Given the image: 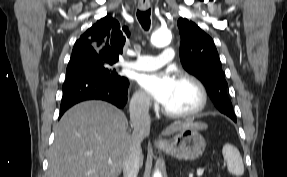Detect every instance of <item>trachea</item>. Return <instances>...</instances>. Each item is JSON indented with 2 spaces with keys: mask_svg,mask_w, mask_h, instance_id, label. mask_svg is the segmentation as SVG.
Instances as JSON below:
<instances>
[{
  "mask_svg": "<svg viewBox=\"0 0 287 177\" xmlns=\"http://www.w3.org/2000/svg\"><path fill=\"white\" fill-rule=\"evenodd\" d=\"M150 14H151L150 9L147 11H140V10L137 11V19L144 30H148L150 28L151 23Z\"/></svg>",
  "mask_w": 287,
  "mask_h": 177,
  "instance_id": "1",
  "label": "trachea"
}]
</instances>
